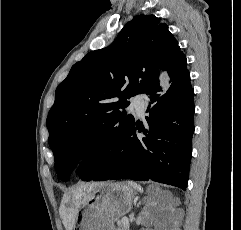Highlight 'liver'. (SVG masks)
I'll use <instances>...</instances> for the list:
<instances>
[{
	"label": "liver",
	"instance_id": "liver-1",
	"mask_svg": "<svg viewBox=\"0 0 241 230\" xmlns=\"http://www.w3.org/2000/svg\"><path fill=\"white\" fill-rule=\"evenodd\" d=\"M89 197H90V194L86 195L81 190L76 191L72 195V202L74 203L75 206L73 208H67L65 204L68 203L71 197L68 194L64 195L62 199V205L60 207V215L62 217L63 225L66 228V230L73 229L77 211L82 204L86 203Z\"/></svg>",
	"mask_w": 241,
	"mask_h": 230
}]
</instances>
